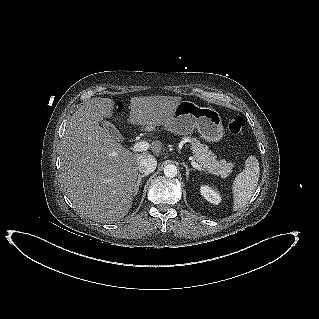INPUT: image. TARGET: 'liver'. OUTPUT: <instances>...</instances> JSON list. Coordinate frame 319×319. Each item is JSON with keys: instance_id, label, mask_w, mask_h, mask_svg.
Wrapping results in <instances>:
<instances>
[{"instance_id": "liver-1", "label": "liver", "mask_w": 319, "mask_h": 319, "mask_svg": "<svg viewBox=\"0 0 319 319\" xmlns=\"http://www.w3.org/2000/svg\"><path fill=\"white\" fill-rule=\"evenodd\" d=\"M181 97L140 96L130 100L128 122L147 129L170 122ZM114 101L92 98L73 114L60 145L61 181L76 210L93 221L112 222L132 206L141 157L132 153L100 126L111 118ZM161 143L150 145L159 155Z\"/></svg>"}]
</instances>
